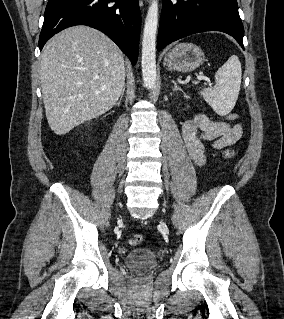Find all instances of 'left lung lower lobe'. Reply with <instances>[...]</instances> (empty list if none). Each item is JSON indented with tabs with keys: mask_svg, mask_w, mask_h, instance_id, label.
<instances>
[{
	"mask_svg": "<svg viewBox=\"0 0 284 319\" xmlns=\"http://www.w3.org/2000/svg\"><path fill=\"white\" fill-rule=\"evenodd\" d=\"M225 32L243 46L244 27L237 0H163L157 50L188 35Z\"/></svg>",
	"mask_w": 284,
	"mask_h": 319,
	"instance_id": "1",
	"label": "left lung lower lobe"
}]
</instances>
